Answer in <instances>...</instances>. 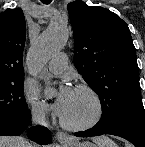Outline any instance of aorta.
<instances>
[{
    "label": "aorta",
    "instance_id": "762f6f07",
    "mask_svg": "<svg viewBox=\"0 0 145 147\" xmlns=\"http://www.w3.org/2000/svg\"><path fill=\"white\" fill-rule=\"evenodd\" d=\"M68 30L63 26L48 27L35 41L28 54V65L32 73L40 69L64 46Z\"/></svg>",
    "mask_w": 145,
    "mask_h": 147
}]
</instances>
